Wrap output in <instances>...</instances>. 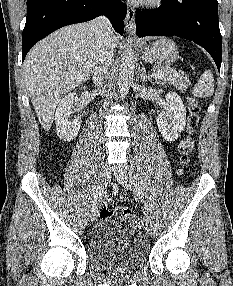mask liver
<instances>
[{"label": "liver", "mask_w": 233, "mask_h": 286, "mask_svg": "<svg viewBox=\"0 0 233 286\" xmlns=\"http://www.w3.org/2000/svg\"><path fill=\"white\" fill-rule=\"evenodd\" d=\"M96 38L92 23L66 26L37 43L26 56L23 78L44 130L51 128L61 98L90 77ZM111 43L118 44L113 32Z\"/></svg>", "instance_id": "liver-1"}]
</instances>
